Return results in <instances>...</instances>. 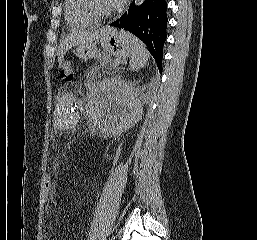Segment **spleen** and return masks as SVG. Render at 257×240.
Instances as JSON below:
<instances>
[{"mask_svg": "<svg viewBox=\"0 0 257 240\" xmlns=\"http://www.w3.org/2000/svg\"><path fill=\"white\" fill-rule=\"evenodd\" d=\"M126 38L131 44L130 67L133 70L143 68L150 57L146 46L134 35L125 32Z\"/></svg>", "mask_w": 257, "mask_h": 240, "instance_id": "3e777b00", "label": "spleen"}]
</instances>
